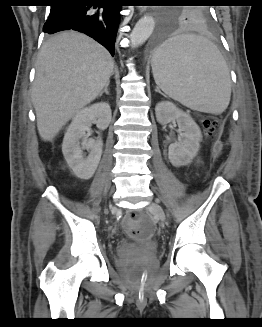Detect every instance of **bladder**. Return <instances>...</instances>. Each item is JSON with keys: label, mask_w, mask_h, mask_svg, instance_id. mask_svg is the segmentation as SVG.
Listing matches in <instances>:
<instances>
[{"label": "bladder", "mask_w": 262, "mask_h": 327, "mask_svg": "<svg viewBox=\"0 0 262 327\" xmlns=\"http://www.w3.org/2000/svg\"><path fill=\"white\" fill-rule=\"evenodd\" d=\"M139 255V251L136 249L128 250L124 256L118 260V267L123 268L128 266V262L134 260Z\"/></svg>", "instance_id": "1"}]
</instances>
